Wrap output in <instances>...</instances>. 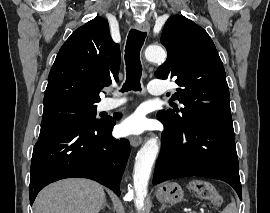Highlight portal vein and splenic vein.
Segmentation results:
<instances>
[{"label": "portal vein and splenic vein", "instance_id": "1", "mask_svg": "<svg viewBox=\"0 0 270 213\" xmlns=\"http://www.w3.org/2000/svg\"><path fill=\"white\" fill-rule=\"evenodd\" d=\"M189 212H190V213H196L195 211H192V210H190V209H189Z\"/></svg>", "mask_w": 270, "mask_h": 213}]
</instances>
